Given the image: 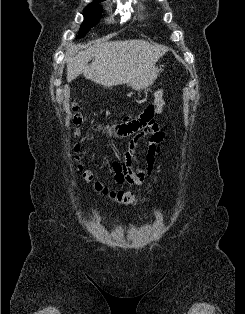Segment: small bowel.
Returning a JSON list of instances; mask_svg holds the SVG:
<instances>
[{
  "instance_id": "obj_1",
  "label": "small bowel",
  "mask_w": 245,
  "mask_h": 314,
  "mask_svg": "<svg viewBox=\"0 0 245 314\" xmlns=\"http://www.w3.org/2000/svg\"><path fill=\"white\" fill-rule=\"evenodd\" d=\"M163 88L155 91L153 98L146 108L137 114H132L122 118L121 122L114 125H97L90 135V140L95 141L97 134H132L136 133L132 141L131 148L121 152L111 163L114 180L118 184H128L130 186H141L148 181L154 170L155 157L161 151V142L164 133L159 130L157 118L161 114L164 106ZM150 138L146 154V169L141 168L137 153V145Z\"/></svg>"
}]
</instances>
